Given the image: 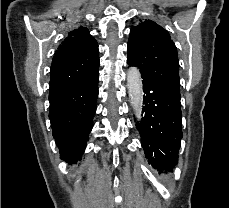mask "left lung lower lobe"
<instances>
[{
    "label": "left lung lower lobe",
    "mask_w": 229,
    "mask_h": 208,
    "mask_svg": "<svg viewBox=\"0 0 229 208\" xmlns=\"http://www.w3.org/2000/svg\"><path fill=\"white\" fill-rule=\"evenodd\" d=\"M128 65L133 66L129 61ZM144 117L138 124L149 164L160 173L172 172L178 161L181 129L180 98L143 79Z\"/></svg>",
    "instance_id": "obj_1"
}]
</instances>
